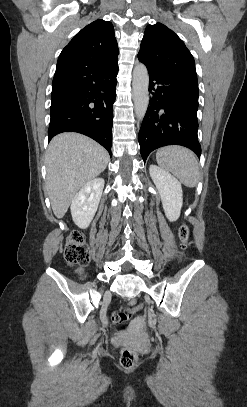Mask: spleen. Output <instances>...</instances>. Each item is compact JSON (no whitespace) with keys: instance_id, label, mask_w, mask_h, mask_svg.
Wrapping results in <instances>:
<instances>
[{"instance_id":"3e777b00","label":"spleen","mask_w":247,"mask_h":407,"mask_svg":"<svg viewBox=\"0 0 247 407\" xmlns=\"http://www.w3.org/2000/svg\"><path fill=\"white\" fill-rule=\"evenodd\" d=\"M158 165L171 172L182 184L193 188L199 181V165L196 156L182 146H167L158 149L156 153Z\"/></svg>"}]
</instances>
